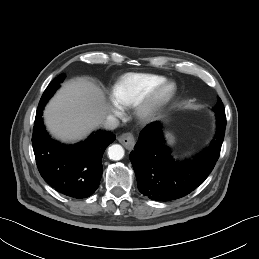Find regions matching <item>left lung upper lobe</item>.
Instances as JSON below:
<instances>
[{
  "mask_svg": "<svg viewBox=\"0 0 259 259\" xmlns=\"http://www.w3.org/2000/svg\"><path fill=\"white\" fill-rule=\"evenodd\" d=\"M213 110L214 112H225L221 99L218 100L217 106Z\"/></svg>",
  "mask_w": 259,
  "mask_h": 259,
  "instance_id": "left-lung-upper-lobe-1",
  "label": "left lung upper lobe"
}]
</instances>
